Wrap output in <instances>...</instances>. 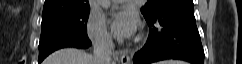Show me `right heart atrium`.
Masks as SVG:
<instances>
[{
  "label": "right heart atrium",
  "instance_id": "obj_1",
  "mask_svg": "<svg viewBox=\"0 0 242 64\" xmlns=\"http://www.w3.org/2000/svg\"><path fill=\"white\" fill-rule=\"evenodd\" d=\"M88 36L97 44H108L110 35L108 33L104 19L91 13L86 23Z\"/></svg>",
  "mask_w": 242,
  "mask_h": 64
}]
</instances>
